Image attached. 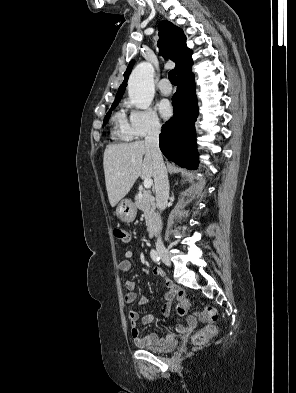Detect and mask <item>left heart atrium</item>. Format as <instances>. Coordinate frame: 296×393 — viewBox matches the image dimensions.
Returning a JSON list of instances; mask_svg holds the SVG:
<instances>
[{"label":"left heart atrium","mask_w":296,"mask_h":393,"mask_svg":"<svg viewBox=\"0 0 296 393\" xmlns=\"http://www.w3.org/2000/svg\"><path fill=\"white\" fill-rule=\"evenodd\" d=\"M158 109H159L160 114L165 119L170 118L173 113V108H172L171 104L166 100H163L158 104Z\"/></svg>","instance_id":"39dd6f15"}]
</instances>
